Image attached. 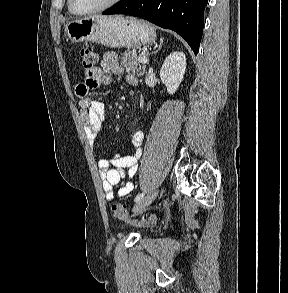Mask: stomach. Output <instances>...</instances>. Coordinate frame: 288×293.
<instances>
[{"label":"stomach","instance_id":"obj_1","mask_svg":"<svg viewBox=\"0 0 288 293\" xmlns=\"http://www.w3.org/2000/svg\"><path fill=\"white\" fill-rule=\"evenodd\" d=\"M65 33L72 43L90 41L110 48H135L154 43L156 37L152 27L144 21L101 15L70 21L65 25Z\"/></svg>","mask_w":288,"mask_h":293}]
</instances>
